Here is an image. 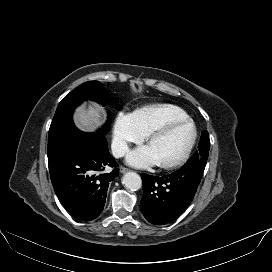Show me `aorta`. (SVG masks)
Instances as JSON below:
<instances>
[{
    "label": "aorta",
    "instance_id": "1",
    "mask_svg": "<svg viewBox=\"0 0 272 272\" xmlns=\"http://www.w3.org/2000/svg\"><path fill=\"white\" fill-rule=\"evenodd\" d=\"M122 183L130 190H138L142 186L141 177L135 172H127L124 174Z\"/></svg>",
    "mask_w": 272,
    "mask_h": 272
}]
</instances>
